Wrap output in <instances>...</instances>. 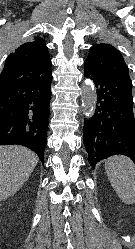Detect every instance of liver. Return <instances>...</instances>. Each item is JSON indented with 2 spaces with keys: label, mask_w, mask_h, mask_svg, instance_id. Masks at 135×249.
I'll return each mask as SVG.
<instances>
[{
  "label": "liver",
  "mask_w": 135,
  "mask_h": 249,
  "mask_svg": "<svg viewBox=\"0 0 135 249\" xmlns=\"http://www.w3.org/2000/svg\"><path fill=\"white\" fill-rule=\"evenodd\" d=\"M38 161V156L23 146H0V202L23 186Z\"/></svg>",
  "instance_id": "obj_1"
}]
</instances>
